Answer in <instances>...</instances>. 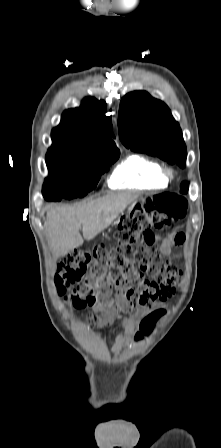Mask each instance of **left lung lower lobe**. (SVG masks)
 I'll use <instances>...</instances> for the list:
<instances>
[{"label":"left lung lower lobe","mask_w":221,"mask_h":448,"mask_svg":"<svg viewBox=\"0 0 221 448\" xmlns=\"http://www.w3.org/2000/svg\"><path fill=\"white\" fill-rule=\"evenodd\" d=\"M188 191V183L187 182H183L181 184V192L182 193H186Z\"/></svg>","instance_id":"left-lung-lower-lobe-1"}]
</instances>
